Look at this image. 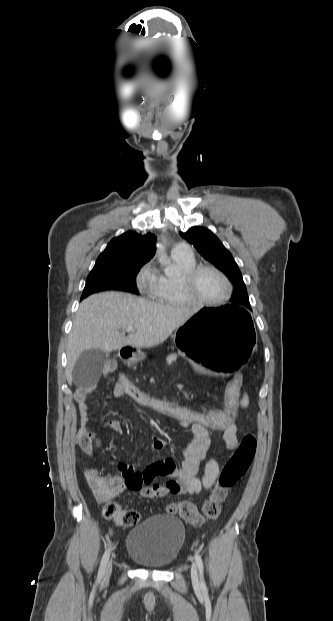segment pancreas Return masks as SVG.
Returning <instances> with one entry per match:
<instances>
[{"label":"pancreas","instance_id":"cf45deb5","mask_svg":"<svg viewBox=\"0 0 333 621\" xmlns=\"http://www.w3.org/2000/svg\"><path fill=\"white\" fill-rule=\"evenodd\" d=\"M177 359V354L173 353L167 356L166 360L168 364H172Z\"/></svg>","mask_w":333,"mask_h":621}]
</instances>
